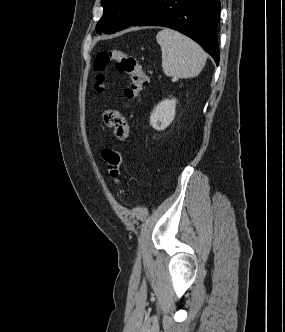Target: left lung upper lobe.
<instances>
[{"label":"left lung upper lobe","mask_w":285,"mask_h":332,"mask_svg":"<svg viewBox=\"0 0 285 332\" xmlns=\"http://www.w3.org/2000/svg\"><path fill=\"white\" fill-rule=\"evenodd\" d=\"M154 2V0H101L103 16L99 20L96 30L103 29L112 34L130 26Z\"/></svg>","instance_id":"obj_1"}]
</instances>
